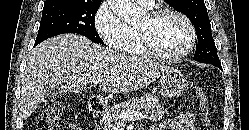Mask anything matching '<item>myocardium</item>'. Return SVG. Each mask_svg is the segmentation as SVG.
<instances>
[{"mask_svg": "<svg viewBox=\"0 0 249 130\" xmlns=\"http://www.w3.org/2000/svg\"><path fill=\"white\" fill-rule=\"evenodd\" d=\"M165 16H175L181 19L189 31V40L185 48L179 53L173 55H166L157 51L151 41L150 33L147 27H138L137 32L140 39V44L143 49V52L148 57L163 61V62H175L185 58L195 47L197 40V33L194 24L192 21L182 12L174 9H156L152 10L147 14V17L151 23L156 22Z\"/></svg>", "mask_w": 249, "mask_h": 130, "instance_id": "1", "label": "myocardium"}]
</instances>
